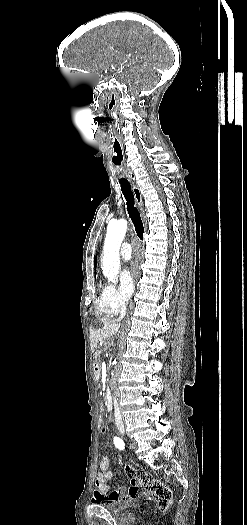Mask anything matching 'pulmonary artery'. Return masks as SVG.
Masks as SVG:
<instances>
[{"instance_id":"obj_1","label":"pulmonary artery","mask_w":247,"mask_h":525,"mask_svg":"<svg viewBox=\"0 0 247 525\" xmlns=\"http://www.w3.org/2000/svg\"><path fill=\"white\" fill-rule=\"evenodd\" d=\"M121 261L123 263H128L130 261V256L132 254V251L130 249V243L124 242L121 246Z\"/></svg>"}]
</instances>
